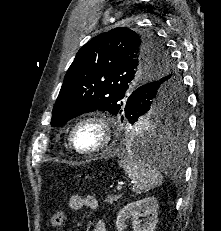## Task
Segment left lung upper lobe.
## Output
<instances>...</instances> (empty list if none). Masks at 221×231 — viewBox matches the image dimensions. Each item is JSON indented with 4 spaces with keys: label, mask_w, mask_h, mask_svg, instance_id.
Wrapping results in <instances>:
<instances>
[{
    "label": "left lung upper lobe",
    "mask_w": 221,
    "mask_h": 231,
    "mask_svg": "<svg viewBox=\"0 0 221 231\" xmlns=\"http://www.w3.org/2000/svg\"><path fill=\"white\" fill-rule=\"evenodd\" d=\"M180 76L165 44L153 32L114 28L91 39L69 67L52 111L51 126L95 110L140 118L160 127L185 126ZM136 89L141 100L128 101ZM179 101L177 102V100Z\"/></svg>",
    "instance_id": "left-lung-upper-lobe-1"
}]
</instances>
